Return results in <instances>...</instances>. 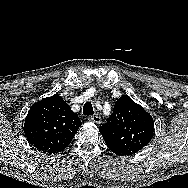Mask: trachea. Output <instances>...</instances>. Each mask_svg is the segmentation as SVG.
I'll use <instances>...</instances> for the list:
<instances>
[{"label": "trachea", "instance_id": "trachea-1", "mask_svg": "<svg viewBox=\"0 0 188 188\" xmlns=\"http://www.w3.org/2000/svg\"><path fill=\"white\" fill-rule=\"evenodd\" d=\"M83 114L84 115H93L94 110L91 102H86L83 106Z\"/></svg>", "mask_w": 188, "mask_h": 188}]
</instances>
